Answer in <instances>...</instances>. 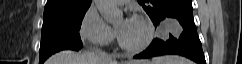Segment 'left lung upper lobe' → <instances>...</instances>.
Listing matches in <instances>:
<instances>
[{
  "mask_svg": "<svg viewBox=\"0 0 242 64\" xmlns=\"http://www.w3.org/2000/svg\"><path fill=\"white\" fill-rule=\"evenodd\" d=\"M138 2L149 15L154 25L160 23L170 11L192 4L191 0H138Z\"/></svg>",
  "mask_w": 242,
  "mask_h": 64,
  "instance_id": "left-lung-upper-lobe-1",
  "label": "left lung upper lobe"
}]
</instances>
